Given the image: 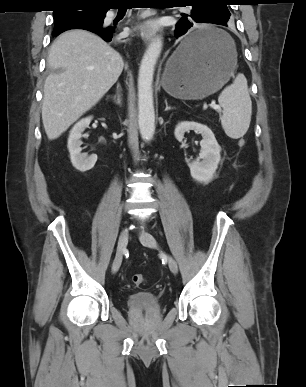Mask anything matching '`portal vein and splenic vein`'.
Returning <instances> with one entry per match:
<instances>
[{"label": "portal vein and splenic vein", "mask_w": 306, "mask_h": 387, "mask_svg": "<svg viewBox=\"0 0 306 387\" xmlns=\"http://www.w3.org/2000/svg\"><path fill=\"white\" fill-rule=\"evenodd\" d=\"M211 108L214 109V110H220L221 109V106L220 105H217L215 103H211Z\"/></svg>", "instance_id": "1"}]
</instances>
